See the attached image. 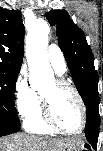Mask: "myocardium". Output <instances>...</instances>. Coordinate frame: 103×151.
<instances>
[{"label":"myocardium","mask_w":103,"mask_h":151,"mask_svg":"<svg viewBox=\"0 0 103 151\" xmlns=\"http://www.w3.org/2000/svg\"><path fill=\"white\" fill-rule=\"evenodd\" d=\"M55 84L58 88L68 89L75 95L82 112V125L78 130L75 131L68 130L61 127L54 119L51 101L41 94L42 115H43L44 122L51 130L58 133L69 134V135L81 134L86 129L88 123L87 107L82 95L74 85H72L71 83H69L64 79H57L55 81Z\"/></svg>","instance_id":"myocardium-1"}]
</instances>
